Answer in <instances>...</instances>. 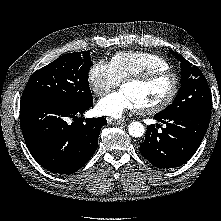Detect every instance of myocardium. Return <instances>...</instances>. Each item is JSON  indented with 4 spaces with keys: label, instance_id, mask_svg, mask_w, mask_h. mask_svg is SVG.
<instances>
[{
    "label": "myocardium",
    "instance_id": "f54148a6",
    "mask_svg": "<svg viewBox=\"0 0 221 221\" xmlns=\"http://www.w3.org/2000/svg\"><path fill=\"white\" fill-rule=\"evenodd\" d=\"M169 77L172 81L170 93L158 104L147 107H140L139 110L146 114H155L166 109L175 100L180 88L179 76L170 69L151 70L141 74L127 77L122 81V86L128 83L147 84L158 78Z\"/></svg>",
    "mask_w": 221,
    "mask_h": 221
}]
</instances>
